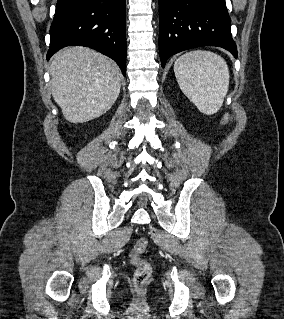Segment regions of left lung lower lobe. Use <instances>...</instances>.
Returning <instances> with one entry per match:
<instances>
[{
	"instance_id": "1",
	"label": "left lung lower lobe",
	"mask_w": 284,
	"mask_h": 319,
	"mask_svg": "<svg viewBox=\"0 0 284 319\" xmlns=\"http://www.w3.org/2000/svg\"><path fill=\"white\" fill-rule=\"evenodd\" d=\"M225 0H159V51L162 67L178 52L225 48L237 58Z\"/></svg>"
}]
</instances>
